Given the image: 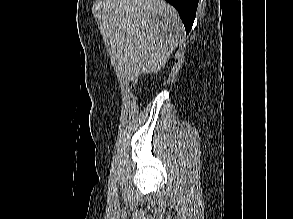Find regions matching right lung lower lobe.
Instances as JSON below:
<instances>
[{
	"mask_svg": "<svg viewBox=\"0 0 293 219\" xmlns=\"http://www.w3.org/2000/svg\"><path fill=\"white\" fill-rule=\"evenodd\" d=\"M168 3L173 5L184 23L186 34H188L192 28L196 10L198 6V0H166Z\"/></svg>",
	"mask_w": 293,
	"mask_h": 219,
	"instance_id": "right-lung-lower-lobe-1",
	"label": "right lung lower lobe"
}]
</instances>
